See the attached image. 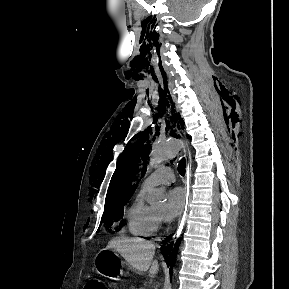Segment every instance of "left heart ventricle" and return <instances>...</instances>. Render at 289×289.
Here are the masks:
<instances>
[{"instance_id":"obj_1","label":"left heart ventricle","mask_w":289,"mask_h":289,"mask_svg":"<svg viewBox=\"0 0 289 289\" xmlns=\"http://www.w3.org/2000/svg\"><path fill=\"white\" fill-rule=\"evenodd\" d=\"M152 210L157 214L159 215L160 217L162 216L163 214V211H164V203H160V204H157L155 206L152 207Z\"/></svg>"}]
</instances>
